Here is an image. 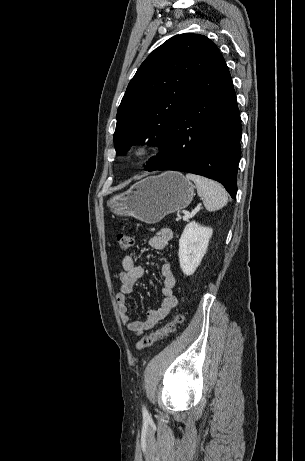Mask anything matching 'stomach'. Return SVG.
I'll use <instances>...</instances> for the list:
<instances>
[{
	"label": "stomach",
	"instance_id": "0dacf381",
	"mask_svg": "<svg viewBox=\"0 0 305 461\" xmlns=\"http://www.w3.org/2000/svg\"><path fill=\"white\" fill-rule=\"evenodd\" d=\"M194 188L181 173L168 171L138 181L126 192L111 197L107 206L116 215L156 223L186 208L195 195Z\"/></svg>",
	"mask_w": 305,
	"mask_h": 461
}]
</instances>
